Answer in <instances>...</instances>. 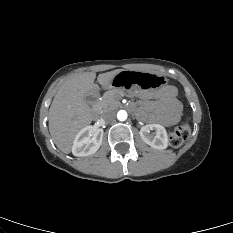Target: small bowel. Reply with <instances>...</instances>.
Masks as SVG:
<instances>
[{"label":"small bowel","instance_id":"obj_1","mask_svg":"<svg viewBox=\"0 0 233 233\" xmlns=\"http://www.w3.org/2000/svg\"><path fill=\"white\" fill-rule=\"evenodd\" d=\"M141 98L147 100L150 95L141 93ZM155 98L147 107L151 110V114H147V109L143 108L139 111L142 118H147L151 122L161 124H172L178 121L181 113V104L176 97V90L172 86H167L162 90L153 94Z\"/></svg>","mask_w":233,"mask_h":233}]
</instances>
